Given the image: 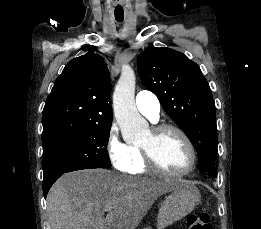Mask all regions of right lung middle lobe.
<instances>
[{
  "instance_id": "1",
  "label": "right lung middle lobe",
  "mask_w": 261,
  "mask_h": 229,
  "mask_svg": "<svg viewBox=\"0 0 261 229\" xmlns=\"http://www.w3.org/2000/svg\"><path fill=\"white\" fill-rule=\"evenodd\" d=\"M111 123L93 125L79 135L43 149L44 180L80 169L110 168L107 152Z\"/></svg>"
}]
</instances>
